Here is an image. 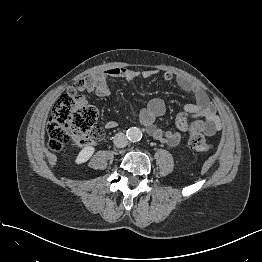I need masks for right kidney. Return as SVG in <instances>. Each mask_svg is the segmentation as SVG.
Returning a JSON list of instances; mask_svg holds the SVG:
<instances>
[{"label": "right kidney", "instance_id": "ca27d5eb", "mask_svg": "<svg viewBox=\"0 0 262 262\" xmlns=\"http://www.w3.org/2000/svg\"><path fill=\"white\" fill-rule=\"evenodd\" d=\"M94 151H95L94 147H91V146L83 148L77 155L75 163L76 164L85 163L86 161H88L91 158Z\"/></svg>", "mask_w": 262, "mask_h": 262}]
</instances>
